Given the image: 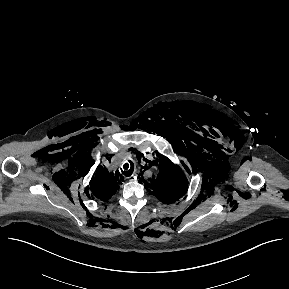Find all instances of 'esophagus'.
Segmentation results:
<instances>
[{
	"label": "esophagus",
	"mask_w": 289,
	"mask_h": 289,
	"mask_svg": "<svg viewBox=\"0 0 289 289\" xmlns=\"http://www.w3.org/2000/svg\"><path fill=\"white\" fill-rule=\"evenodd\" d=\"M132 177L134 178V180L137 179V175L136 174L134 176H132ZM131 180H133V179H131Z\"/></svg>",
	"instance_id": "34e87169"
}]
</instances>
